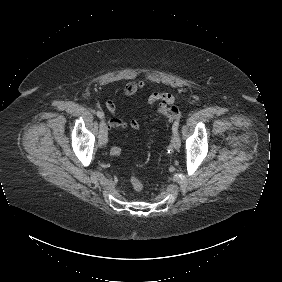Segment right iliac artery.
I'll list each match as a JSON object with an SVG mask.
<instances>
[{"label": "right iliac artery", "instance_id": "1", "mask_svg": "<svg viewBox=\"0 0 282 282\" xmlns=\"http://www.w3.org/2000/svg\"><path fill=\"white\" fill-rule=\"evenodd\" d=\"M96 114H97V116H98L99 118H103V117H104V113L101 112V111H97Z\"/></svg>", "mask_w": 282, "mask_h": 282}]
</instances>
